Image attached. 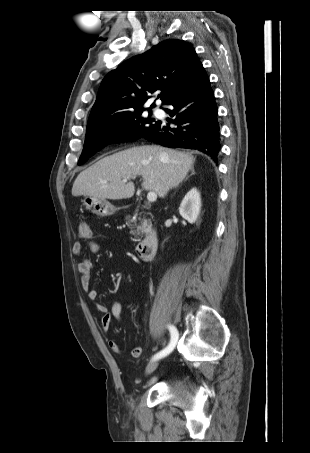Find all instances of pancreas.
<instances>
[{
    "instance_id": "obj_1",
    "label": "pancreas",
    "mask_w": 310,
    "mask_h": 453,
    "mask_svg": "<svg viewBox=\"0 0 310 453\" xmlns=\"http://www.w3.org/2000/svg\"><path fill=\"white\" fill-rule=\"evenodd\" d=\"M131 216L128 215L126 216V220L128 222V225L133 228L134 230L132 231V234L134 235L133 241L137 242L140 241V236H142L144 233H147L151 227V221L147 219H142L140 221V224L137 225L136 221H134V224H131Z\"/></svg>"
}]
</instances>
